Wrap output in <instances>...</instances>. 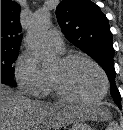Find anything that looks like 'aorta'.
Here are the masks:
<instances>
[{"instance_id":"762f6f07","label":"aorta","mask_w":123,"mask_h":130,"mask_svg":"<svg viewBox=\"0 0 123 130\" xmlns=\"http://www.w3.org/2000/svg\"><path fill=\"white\" fill-rule=\"evenodd\" d=\"M50 12L47 9L37 10L28 26L25 44L34 57L44 67L52 65L54 54L46 42V35L50 26Z\"/></svg>"}]
</instances>
